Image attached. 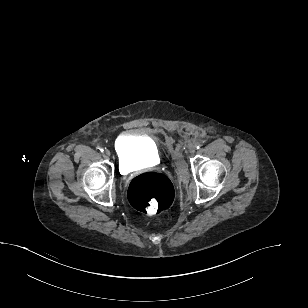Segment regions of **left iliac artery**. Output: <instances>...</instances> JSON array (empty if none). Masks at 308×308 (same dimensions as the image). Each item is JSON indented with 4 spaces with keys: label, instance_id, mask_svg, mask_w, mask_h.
Returning <instances> with one entry per match:
<instances>
[{
    "label": "left iliac artery",
    "instance_id": "1",
    "mask_svg": "<svg viewBox=\"0 0 308 308\" xmlns=\"http://www.w3.org/2000/svg\"><path fill=\"white\" fill-rule=\"evenodd\" d=\"M202 146L200 142L196 143V148L199 149Z\"/></svg>",
    "mask_w": 308,
    "mask_h": 308
}]
</instances>
